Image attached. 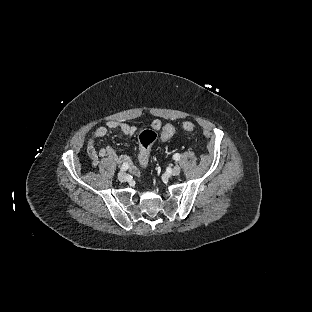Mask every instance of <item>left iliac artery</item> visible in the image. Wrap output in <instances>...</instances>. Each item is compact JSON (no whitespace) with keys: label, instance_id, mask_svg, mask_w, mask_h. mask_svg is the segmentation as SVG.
Instances as JSON below:
<instances>
[{"label":"left iliac artery","instance_id":"1","mask_svg":"<svg viewBox=\"0 0 312 312\" xmlns=\"http://www.w3.org/2000/svg\"><path fill=\"white\" fill-rule=\"evenodd\" d=\"M173 159L178 161L180 159V154L179 153L174 154Z\"/></svg>","mask_w":312,"mask_h":312}]
</instances>
